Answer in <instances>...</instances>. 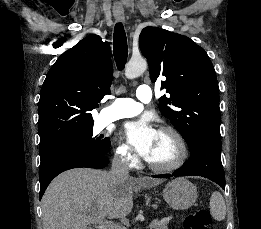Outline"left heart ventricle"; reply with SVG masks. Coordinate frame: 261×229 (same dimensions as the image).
<instances>
[{"label": "left heart ventricle", "instance_id": "b2bd125f", "mask_svg": "<svg viewBox=\"0 0 261 229\" xmlns=\"http://www.w3.org/2000/svg\"><path fill=\"white\" fill-rule=\"evenodd\" d=\"M175 154L176 149L170 136L158 133L147 160L156 164H166L175 157Z\"/></svg>", "mask_w": 261, "mask_h": 229}]
</instances>
